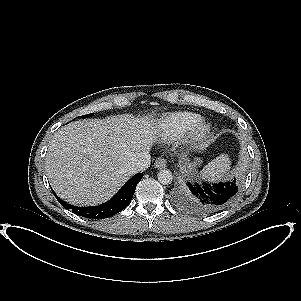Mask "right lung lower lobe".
Segmentation results:
<instances>
[{
	"label": "right lung lower lobe",
	"instance_id": "1",
	"mask_svg": "<svg viewBox=\"0 0 301 301\" xmlns=\"http://www.w3.org/2000/svg\"><path fill=\"white\" fill-rule=\"evenodd\" d=\"M143 174L138 173L134 175L130 180H128L125 185L118 191V193L111 198L108 202L101 204L99 206L93 207H76L67 204L59 197L56 198L59 203L65 209H71V211L80 216L91 218V219H103L108 218L116 213H119L123 209H125L131 202L133 194L136 189V185L142 179Z\"/></svg>",
	"mask_w": 301,
	"mask_h": 301
}]
</instances>
